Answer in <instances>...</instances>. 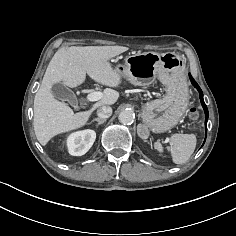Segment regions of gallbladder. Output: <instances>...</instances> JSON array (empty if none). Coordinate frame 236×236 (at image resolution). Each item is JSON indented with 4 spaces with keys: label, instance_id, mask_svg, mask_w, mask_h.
<instances>
[{
    "label": "gallbladder",
    "instance_id": "gallbladder-1",
    "mask_svg": "<svg viewBox=\"0 0 236 236\" xmlns=\"http://www.w3.org/2000/svg\"><path fill=\"white\" fill-rule=\"evenodd\" d=\"M51 92L53 96L62 101H67L71 106L75 107L78 104L76 95L62 82L52 85Z\"/></svg>",
    "mask_w": 236,
    "mask_h": 236
}]
</instances>
